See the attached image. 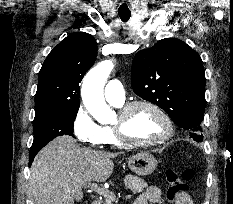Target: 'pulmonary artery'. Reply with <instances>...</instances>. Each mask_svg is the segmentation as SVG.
Segmentation results:
<instances>
[{"label":"pulmonary artery","instance_id":"e3ab8cb5","mask_svg":"<svg viewBox=\"0 0 233 204\" xmlns=\"http://www.w3.org/2000/svg\"><path fill=\"white\" fill-rule=\"evenodd\" d=\"M104 96L111 103H123L125 100V90L122 83L117 79L110 80L104 88Z\"/></svg>","mask_w":233,"mask_h":204}]
</instances>
